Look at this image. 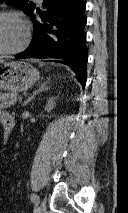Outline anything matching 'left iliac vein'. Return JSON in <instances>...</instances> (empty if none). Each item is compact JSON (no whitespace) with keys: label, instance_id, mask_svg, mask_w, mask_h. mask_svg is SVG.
I'll use <instances>...</instances> for the list:
<instances>
[{"label":"left iliac vein","instance_id":"obj_1","mask_svg":"<svg viewBox=\"0 0 128 213\" xmlns=\"http://www.w3.org/2000/svg\"><path fill=\"white\" fill-rule=\"evenodd\" d=\"M38 211H39V213H45L46 212L45 201H39V203H38Z\"/></svg>","mask_w":128,"mask_h":213}]
</instances>
